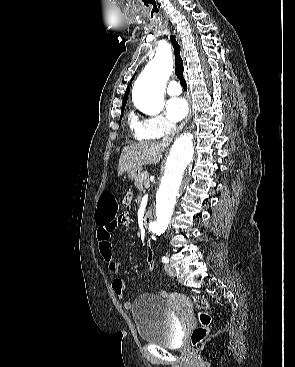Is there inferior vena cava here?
Masks as SVG:
<instances>
[{
    "instance_id": "inferior-vena-cava-1",
    "label": "inferior vena cava",
    "mask_w": 295,
    "mask_h": 367,
    "mask_svg": "<svg viewBox=\"0 0 295 367\" xmlns=\"http://www.w3.org/2000/svg\"><path fill=\"white\" fill-rule=\"evenodd\" d=\"M176 130L177 127L174 124H168L166 129H165V136L163 137L162 143L164 145H168L170 144V142L172 141L173 137L176 134Z\"/></svg>"
}]
</instances>
